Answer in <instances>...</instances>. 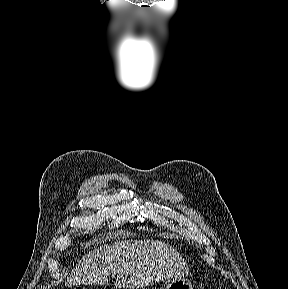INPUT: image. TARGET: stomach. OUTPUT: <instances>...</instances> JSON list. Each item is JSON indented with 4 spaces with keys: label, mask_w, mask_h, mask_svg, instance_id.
I'll return each instance as SVG.
<instances>
[{
    "label": "stomach",
    "mask_w": 288,
    "mask_h": 289,
    "mask_svg": "<svg viewBox=\"0 0 288 289\" xmlns=\"http://www.w3.org/2000/svg\"><path fill=\"white\" fill-rule=\"evenodd\" d=\"M165 289H193V287L189 280L178 277L169 280Z\"/></svg>",
    "instance_id": "obj_1"
}]
</instances>
